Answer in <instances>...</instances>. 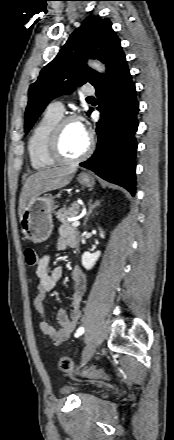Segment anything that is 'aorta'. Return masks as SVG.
Instances as JSON below:
<instances>
[{
  "instance_id": "obj_1",
  "label": "aorta",
  "mask_w": 174,
  "mask_h": 440,
  "mask_svg": "<svg viewBox=\"0 0 174 440\" xmlns=\"http://www.w3.org/2000/svg\"><path fill=\"white\" fill-rule=\"evenodd\" d=\"M91 65V64H90ZM93 68L97 69L98 71H103V68L100 67L99 64H93L91 65Z\"/></svg>"
}]
</instances>
